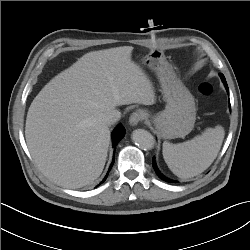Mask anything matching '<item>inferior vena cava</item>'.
<instances>
[{"instance_id":"inferior-vena-cava-1","label":"inferior vena cava","mask_w":250,"mask_h":250,"mask_svg":"<svg viewBox=\"0 0 250 250\" xmlns=\"http://www.w3.org/2000/svg\"><path fill=\"white\" fill-rule=\"evenodd\" d=\"M120 118H121V112L114 109V110H111L105 114L103 121L106 124L111 125V124L117 122Z\"/></svg>"}]
</instances>
